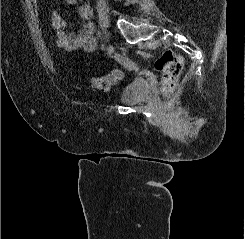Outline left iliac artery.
I'll return each instance as SVG.
<instances>
[{
    "label": "left iliac artery",
    "instance_id": "left-iliac-artery-1",
    "mask_svg": "<svg viewBox=\"0 0 245 239\" xmlns=\"http://www.w3.org/2000/svg\"><path fill=\"white\" fill-rule=\"evenodd\" d=\"M101 49L105 50V45L104 44L101 45Z\"/></svg>",
    "mask_w": 245,
    "mask_h": 239
}]
</instances>
